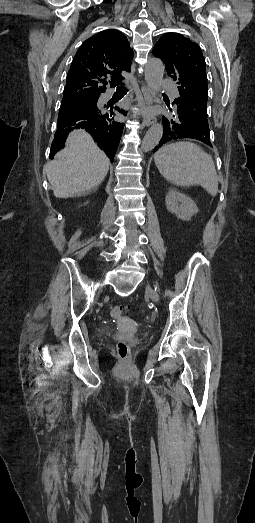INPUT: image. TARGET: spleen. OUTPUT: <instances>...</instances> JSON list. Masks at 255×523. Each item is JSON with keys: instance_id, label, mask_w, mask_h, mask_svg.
Listing matches in <instances>:
<instances>
[{"instance_id": "obj_1", "label": "spleen", "mask_w": 255, "mask_h": 523, "mask_svg": "<svg viewBox=\"0 0 255 523\" xmlns=\"http://www.w3.org/2000/svg\"><path fill=\"white\" fill-rule=\"evenodd\" d=\"M154 162L162 176L176 186L200 184L210 196L218 192L217 172L212 156L192 142H176L163 146L154 154Z\"/></svg>"}]
</instances>
